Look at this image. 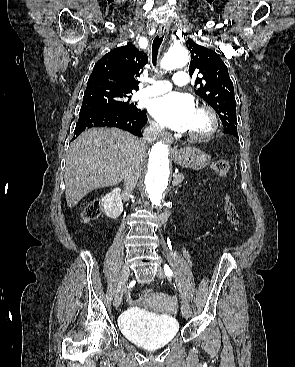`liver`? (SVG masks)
<instances>
[{
	"label": "liver",
	"mask_w": 295,
	"mask_h": 367,
	"mask_svg": "<svg viewBox=\"0 0 295 367\" xmlns=\"http://www.w3.org/2000/svg\"><path fill=\"white\" fill-rule=\"evenodd\" d=\"M145 148L140 140L116 128H92L80 134L69 148L65 186L66 202L72 208L89 192L119 184L125 170L140 165Z\"/></svg>",
	"instance_id": "6515ba94"
}]
</instances>
